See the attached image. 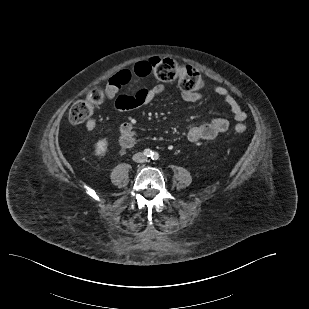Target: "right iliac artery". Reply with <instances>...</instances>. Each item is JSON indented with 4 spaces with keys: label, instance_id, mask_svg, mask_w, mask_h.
Instances as JSON below:
<instances>
[{
    "label": "right iliac artery",
    "instance_id": "82829eb1",
    "mask_svg": "<svg viewBox=\"0 0 309 309\" xmlns=\"http://www.w3.org/2000/svg\"><path fill=\"white\" fill-rule=\"evenodd\" d=\"M143 153L147 157H150L153 155V152L150 149H145Z\"/></svg>",
    "mask_w": 309,
    "mask_h": 309
}]
</instances>
